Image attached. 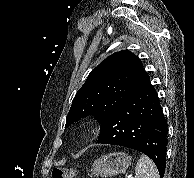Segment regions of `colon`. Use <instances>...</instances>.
Returning <instances> with one entry per match:
<instances>
[{"instance_id":"1","label":"colon","mask_w":194,"mask_h":178,"mask_svg":"<svg viewBox=\"0 0 194 178\" xmlns=\"http://www.w3.org/2000/svg\"><path fill=\"white\" fill-rule=\"evenodd\" d=\"M76 171L68 167H56L52 171V178H74Z\"/></svg>"}]
</instances>
